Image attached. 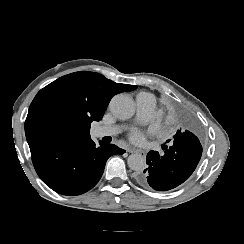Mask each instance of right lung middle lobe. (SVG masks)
<instances>
[{
    "mask_svg": "<svg viewBox=\"0 0 244 244\" xmlns=\"http://www.w3.org/2000/svg\"><path fill=\"white\" fill-rule=\"evenodd\" d=\"M79 114L66 110L36 116L32 132L38 137L52 141H73L72 132Z\"/></svg>",
    "mask_w": 244,
    "mask_h": 244,
    "instance_id": "dd1d6c3e",
    "label": "right lung middle lobe"
}]
</instances>
